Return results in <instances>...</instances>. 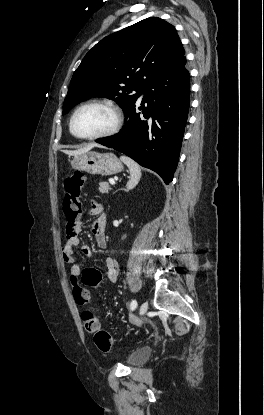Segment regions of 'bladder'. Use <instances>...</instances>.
<instances>
[{"mask_svg":"<svg viewBox=\"0 0 264 415\" xmlns=\"http://www.w3.org/2000/svg\"><path fill=\"white\" fill-rule=\"evenodd\" d=\"M152 355V348L143 347L134 350L126 359L129 366H139L145 363Z\"/></svg>","mask_w":264,"mask_h":415,"instance_id":"31cf9c89","label":"bladder"}]
</instances>
